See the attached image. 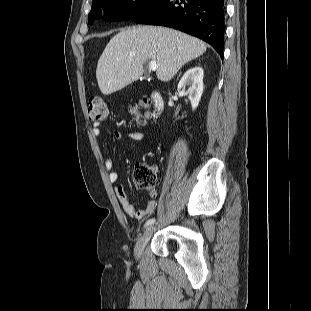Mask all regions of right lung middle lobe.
I'll use <instances>...</instances> for the list:
<instances>
[{
    "mask_svg": "<svg viewBox=\"0 0 311 311\" xmlns=\"http://www.w3.org/2000/svg\"><path fill=\"white\" fill-rule=\"evenodd\" d=\"M158 0H95L88 15V23L92 24L97 19L105 21L128 20Z\"/></svg>",
    "mask_w": 311,
    "mask_h": 311,
    "instance_id": "obj_1",
    "label": "right lung middle lobe"
}]
</instances>
